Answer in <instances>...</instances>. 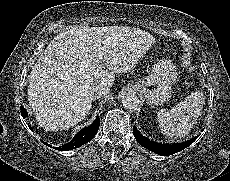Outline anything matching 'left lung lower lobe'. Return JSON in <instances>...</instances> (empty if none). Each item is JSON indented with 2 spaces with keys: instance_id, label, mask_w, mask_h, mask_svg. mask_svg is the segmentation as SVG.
Listing matches in <instances>:
<instances>
[{
  "instance_id": "left-lung-lower-lobe-1",
  "label": "left lung lower lobe",
  "mask_w": 230,
  "mask_h": 181,
  "mask_svg": "<svg viewBox=\"0 0 230 181\" xmlns=\"http://www.w3.org/2000/svg\"><path fill=\"white\" fill-rule=\"evenodd\" d=\"M133 134L136 141L141 146L161 156H169L174 153H177L190 146L197 139V137H195L191 140H188L183 143H178V144H161V143L159 144L141 135L140 132L137 131L135 126L133 127Z\"/></svg>"
}]
</instances>
